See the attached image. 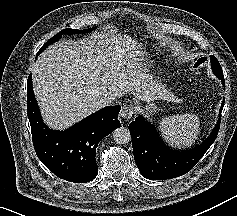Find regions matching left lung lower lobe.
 <instances>
[{
    "instance_id": "left-lung-lower-lobe-1",
    "label": "left lung lower lobe",
    "mask_w": 237,
    "mask_h": 216,
    "mask_svg": "<svg viewBox=\"0 0 237 216\" xmlns=\"http://www.w3.org/2000/svg\"><path fill=\"white\" fill-rule=\"evenodd\" d=\"M222 84L225 87L224 80ZM224 100L220 109L219 120L210 136L195 148L180 151L167 147L160 139L154 127L142 116L129 125L136 165L140 173L150 180L172 179L186 174L203 157L215 141Z\"/></svg>"
}]
</instances>
